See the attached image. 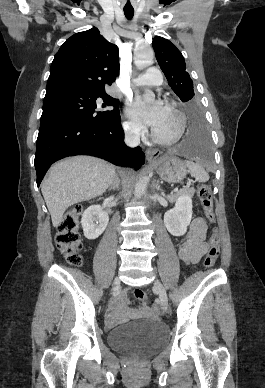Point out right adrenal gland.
Segmentation results:
<instances>
[{"label": "right adrenal gland", "instance_id": "right-adrenal-gland-1", "mask_svg": "<svg viewBox=\"0 0 265 388\" xmlns=\"http://www.w3.org/2000/svg\"><path fill=\"white\" fill-rule=\"evenodd\" d=\"M119 182H120V180H118V178H115L112 186H110V188H108V190H116V188H119Z\"/></svg>", "mask_w": 265, "mask_h": 388}]
</instances>
